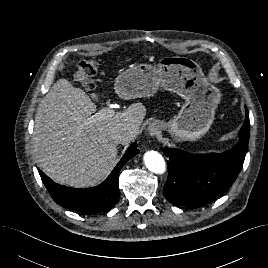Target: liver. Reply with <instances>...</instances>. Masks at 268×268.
<instances>
[{"mask_svg": "<svg viewBox=\"0 0 268 268\" xmlns=\"http://www.w3.org/2000/svg\"><path fill=\"white\" fill-rule=\"evenodd\" d=\"M80 88L59 79L41 100L35 116L33 156L53 181L75 188L92 187L112 171L118 154L112 131L138 134L146 108L134 103L107 119ZM131 140L121 141L126 145Z\"/></svg>", "mask_w": 268, "mask_h": 268, "instance_id": "liver-1", "label": "liver"}]
</instances>
